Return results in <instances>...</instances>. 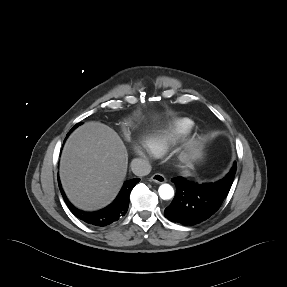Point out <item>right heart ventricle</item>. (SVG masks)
Masks as SVG:
<instances>
[{
	"label": "right heart ventricle",
	"mask_w": 287,
	"mask_h": 287,
	"mask_svg": "<svg viewBox=\"0 0 287 287\" xmlns=\"http://www.w3.org/2000/svg\"><path fill=\"white\" fill-rule=\"evenodd\" d=\"M192 131L193 124L190 120L169 119L153 127L147 133V141L154 154L162 155L171 145L186 138Z\"/></svg>",
	"instance_id": "e07e8e85"
}]
</instances>
